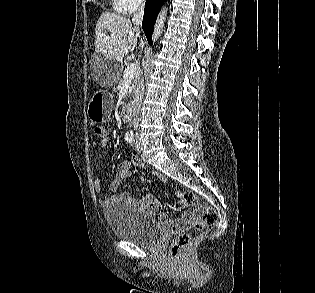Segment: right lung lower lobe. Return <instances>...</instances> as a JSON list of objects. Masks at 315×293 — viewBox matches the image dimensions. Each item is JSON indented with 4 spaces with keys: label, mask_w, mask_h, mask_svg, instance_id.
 Listing matches in <instances>:
<instances>
[{
    "label": "right lung lower lobe",
    "mask_w": 315,
    "mask_h": 293,
    "mask_svg": "<svg viewBox=\"0 0 315 293\" xmlns=\"http://www.w3.org/2000/svg\"><path fill=\"white\" fill-rule=\"evenodd\" d=\"M165 0H146L142 28L150 45H152V30L156 17Z\"/></svg>",
    "instance_id": "right-lung-lower-lobe-1"
}]
</instances>
